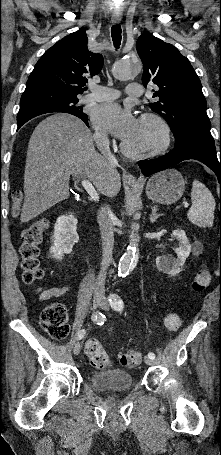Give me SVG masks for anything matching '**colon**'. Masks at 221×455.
<instances>
[{
	"label": "colon",
	"instance_id": "obj_1",
	"mask_svg": "<svg viewBox=\"0 0 221 455\" xmlns=\"http://www.w3.org/2000/svg\"><path fill=\"white\" fill-rule=\"evenodd\" d=\"M13 208L12 215L18 216L20 205L23 199L21 191H15L12 195ZM49 227L47 219H40L26 227L21 232V245L19 254L21 257V268L23 270V280L27 284H32L42 279L43 270L39 264V246L43 239V234ZM211 281L210 271L202 269L197 272L192 282V289L195 292L204 291ZM40 325L56 340L64 339L69 333V319L67 309L63 303L52 302L43 308L40 314ZM167 329L177 331L182 325L181 316L178 313L170 312L164 318ZM85 353L91 365L98 369L106 368L110 365V358L103 349L101 343L96 338H88L85 342ZM142 356L137 351H128L120 356V363L127 368H133L141 363Z\"/></svg>",
	"mask_w": 221,
	"mask_h": 455
}]
</instances>
